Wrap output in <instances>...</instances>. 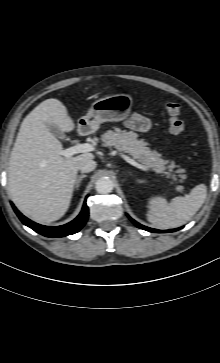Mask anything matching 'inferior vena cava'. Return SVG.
<instances>
[{
  "label": "inferior vena cava",
  "instance_id": "inferior-vena-cava-1",
  "mask_svg": "<svg viewBox=\"0 0 220 363\" xmlns=\"http://www.w3.org/2000/svg\"><path fill=\"white\" fill-rule=\"evenodd\" d=\"M96 162L93 160H82L79 165L78 168L81 172L83 173H88L93 171L96 168Z\"/></svg>",
  "mask_w": 220,
  "mask_h": 363
}]
</instances>
